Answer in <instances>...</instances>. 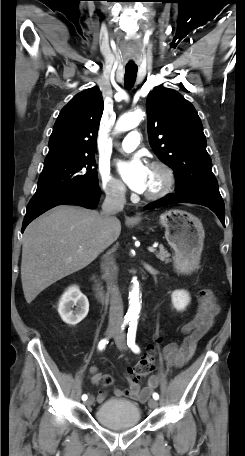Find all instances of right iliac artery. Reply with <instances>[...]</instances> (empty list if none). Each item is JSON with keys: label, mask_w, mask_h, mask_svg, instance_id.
Wrapping results in <instances>:
<instances>
[{"label": "right iliac artery", "mask_w": 245, "mask_h": 456, "mask_svg": "<svg viewBox=\"0 0 245 456\" xmlns=\"http://www.w3.org/2000/svg\"><path fill=\"white\" fill-rule=\"evenodd\" d=\"M129 322V319H125L122 326H121V329L123 330L125 328V326L128 324ZM108 344V340L107 339H102L99 344H98V349L99 350H103L105 348V346ZM88 396L86 394H83L82 395V400L85 401L87 400Z\"/></svg>", "instance_id": "right-iliac-artery-1"}]
</instances>
